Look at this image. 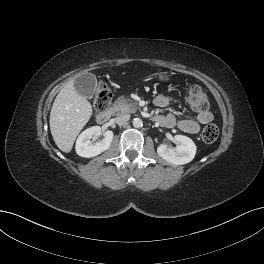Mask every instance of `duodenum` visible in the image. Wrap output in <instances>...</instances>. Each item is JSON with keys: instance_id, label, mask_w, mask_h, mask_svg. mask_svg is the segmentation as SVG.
Masks as SVG:
<instances>
[{"instance_id": "obj_1", "label": "duodenum", "mask_w": 264, "mask_h": 264, "mask_svg": "<svg viewBox=\"0 0 264 264\" xmlns=\"http://www.w3.org/2000/svg\"><path fill=\"white\" fill-rule=\"evenodd\" d=\"M112 116H113L112 110L102 111L97 115V122L99 124H106L111 120Z\"/></svg>"}]
</instances>
